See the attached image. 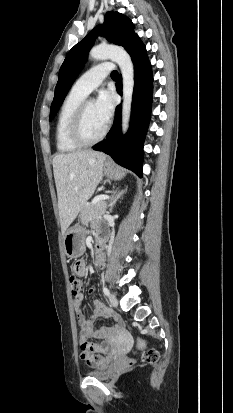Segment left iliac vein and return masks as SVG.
Segmentation results:
<instances>
[{
    "mask_svg": "<svg viewBox=\"0 0 233 413\" xmlns=\"http://www.w3.org/2000/svg\"><path fill=\"white\" fill-rule=\"evenodd\" d=\"M109 302L112 306L116 307L118 305V301L115 295H109Z\"/></svg>",
    "mask_w": 233,
    "mask_h": 413,
    "instance_id": "obj_1",
    "label": "left iliac vein"
}]
</instances>
